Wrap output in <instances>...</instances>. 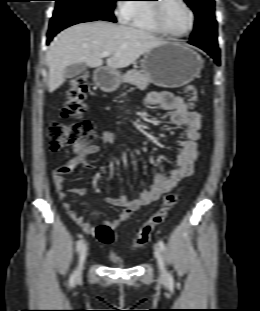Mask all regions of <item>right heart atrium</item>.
<instances>
[{
	"label": "right heart atrium",
	"instance_id": "d8ad5b80",
	"mask_svg": "<svg viewBox=\"0 0 260 311\" xmlns=\"http://www.w3.org/2000/svg\"><path fill=\"white\" fill-rule=\"evenodd\" d=\"M126 10H127V5L125 3H122V1H119L117 4L116 13L120 19L123 20Z\"/></svg>",
	"mask_w": 260,
	"mask_h": 311
}]
</instances>
